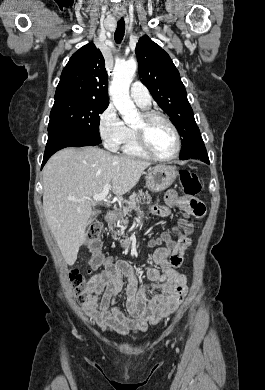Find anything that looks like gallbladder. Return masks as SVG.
Segmentation results:
<instances>
[{
  "label": "gallbladder",
  "mask_w": 265,
  "mask_h": 390,
  "mask_svg": "<svg viewBox=\"0 0 265 390\" xmlns=\"http://www.w3.org/2000/svg\"><path fill=\"white\" fill-rule=\"evenodd\" d=\"M97 214L98 212L97 211H93L90 218H89V221H88V224H91L92 222H94V220L96 219L97 217Z\"/></svg>",
  "instance_id": "gallbladder-1"
}]
</instances>
